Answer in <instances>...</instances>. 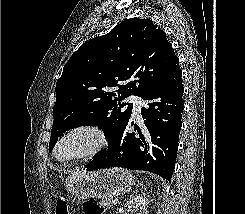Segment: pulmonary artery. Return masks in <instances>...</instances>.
Segmentation results:
<instances>
[{"mask_svg": "<svg viewBox=\"0 0 245 214\" xmlns=\"http://www.w3.org/2000/svg\"><path fill=\"white\" fill-rule=\"evenodd\" d=\"M127 102H130L133 104V114L135 116H139L140 115V106L142 104L141 99L137 96H130L127 99Z\"/></svg>", "mask_w": 245, "mask_h": 214, "instance_id": "e3ab8cb5", "label": "pulmonary artery"}]
</instances>
